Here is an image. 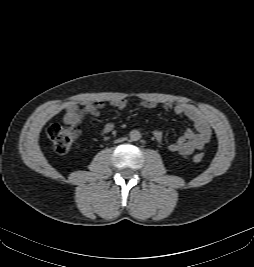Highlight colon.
Listing matches in <instances>:
<instances>
[{
  "label": "colon",
  "mask_w": 254,
  "mask_h": 267,
  "mask_svg": "<svg viewBox=\"0 0 254 267\" xmlns=\"http://www.w3.org/2000/svg\"><path fill=\"white\" fill-rule=\"evenodd\" d=\"M47 135L51 140L55 151L59 154L67 153L73 143L81 135L79 126L76 125H60L53 124L48 127ZM204 159L203 153H197L193 156V161L196 163L202 162Z\"/></svg>",
  "instance_id": "colon-1"
}]
</instances>
